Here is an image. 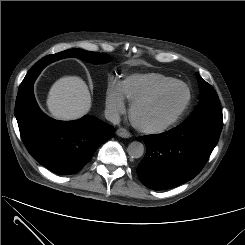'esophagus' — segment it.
Returning <instances> with one entry per match:
<instances>
[{
  "mask_svg": "<svg viewBox=\"0 0 245 245\" xmlns=\"http://www.w3.org/2000/svg\"><path fill=\"white\" fill-rule=\"evenodd\" d=\"M116 134L122 138H130L131 137V133L128 130H126L125 128L117 129Z\"/></svg>",
  "mask_w": 245,
  "mask_h": 245,
  "instance_id": "esophagus-1",
  "label": "esophagus"
}]
</instances>
